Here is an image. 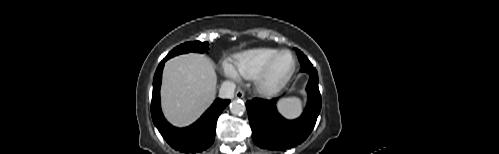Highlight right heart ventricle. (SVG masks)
Returning <instances> with one entry per match:
<instances>
[{
    "instance_id": "e07e8e85",
    "label": "right heart ventricle",
    "mask_w": 499,
    "mask_h": 154,
    "mask_svg": "<svg viewBox=\"0 0 499 154\" xmlns=\"http://www.w3.org/2000/svg\"><path fill=\"white\" fill-rule=\"evenodd\" d=\"M277 52V49L266 47L248 49L235 54L230 64L236 75L245 79H254Z\"/></svg>"
}]
</instances>
